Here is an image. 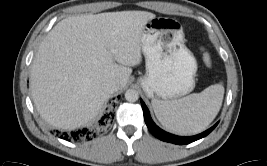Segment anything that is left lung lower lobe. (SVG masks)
I'll return each mask as SVG.
<instances>
[{"label":"left lung lower lobe","mask_w":267,"mask_h":166,"mask_svg":"<svg viewBox=\"0 0 267 166\" xmlns=\"http://www.w3.org/2000/svg\"><path fill=\"white\" fill-rule=\"evenodd\" d=\"M141 105L143 109V114H144V119L145 123L149 129V131L158 139L165 141V142H170L178 145H185L192 143L198 139H201L205 136H207L216 126L218 123H216L213 127L210 129L206 130L205 132L195 135V136H190V137H182V136H176L170 133H167L160 129L151 119L150 113L148 108L146 107L145 103L141 100Z\"/></svg>","instance_id":"obj_1"}]
</instances>
